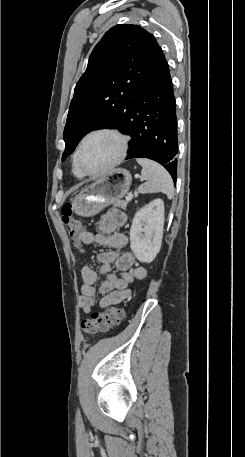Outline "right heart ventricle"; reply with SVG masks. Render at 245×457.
<instances>
[{
	"label": "right heart ventricle",
	"instance_id": "obj_1",
	"mask_svg": "<svg viewBox=\"0 0 245 457\" xmlns=\"http://www.w3.org/2000/svg\"><path fill=\"white\" fill-rule=\"evenodd\" d=\"M73 173L76 177L78 178H83V174L80 172V170L78 169L77 165H76V162H75V159L73 161Z\"/></svg>",
	"mask_w": 245,
	"mask_h": 457
}]
</instances>
